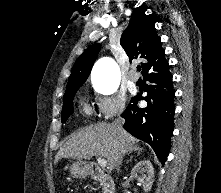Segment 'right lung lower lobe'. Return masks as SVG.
Wrapping results in <instances>:
<instances>
[{"mask_svg":"<svg viewBox=\"0 0 221 193\" xmlns=\"http://www.w3.org/2000/svg\"><path fill=\"white\" fill-rule=\"evenodd\" d=\"M144 81H148L144 89L147 96L141 98L136 95L131 99L121 114L125 119L123 127L136 138L150 144L164 165L170 150L175 114V91L169 64L146 74ZM141 99L148 103L146 108L139 107Z\"/></svg>","mask_w":221,"mask_h":193,"instance_id":"98d812e1","label":"right lung lower lobe"}]
</instances>
